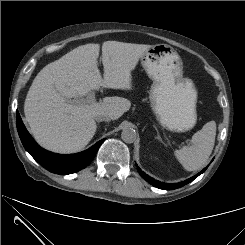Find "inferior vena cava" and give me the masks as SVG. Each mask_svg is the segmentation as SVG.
I'll list each match as a JSON object with an SVG mask.
<instances>
[{
	"label": "inferior vena cava",
	"mask_w": 245,
	"mask_h": 245,
	"mask_svg": "<svg viewBox=\"0 0 245 245\" xmlns=\"http://www.w3.org/2000/svg\"><path fill=\"white\" fill-rule=\"evenodd\" d=\"M95 119H96V121H106V122H108V121H110L111 119H110V117L109 116H107V115H105V114H98L96 117H95Z\"/></svg>",
	"instance_id": "obj_1"
}]
</instances>
